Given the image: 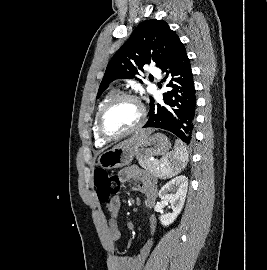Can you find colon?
Instances as JSON below:
<instances>
[{
  "label": "colon",
  "mask_w": 267,
  "mask_h": 270,
  "mask_svg": "<svg viewBox=\"0 0 267 270\" xmlns=\"http://www.w3.org/2000/svg\"><path fill=\"white\" fill-rule=\"evenodd\" d=\"M94 185L100 202L106 203L114 198L120 190V179L106 170L94 172Z\"/></svg>",
  "instance_id": "5ec220e1"
}]
</instances>
